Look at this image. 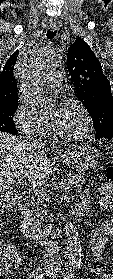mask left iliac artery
<instances>
[{
	"label": "left iliac artery",
	"instance_id": "1",
	"mask_svg": "<svg viewBox=\"0 0 113 279\" xmlns=\"http://www.w3.org/2000/svg\"><path fill=\"white\" fill-rule=\"evenodd\" d=\"M72 278V271L64 273V279H71Z\"/></svg>",
	"mask_w": 113,
	"mask_h": 279
}]
</instances>
